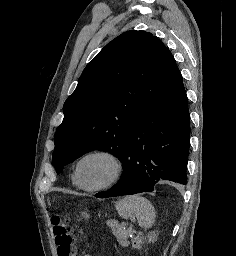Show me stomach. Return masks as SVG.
Segmentation results:
<instances>
[{"label": "stomach", "instance_id": "obj_1", "mask_svg": "<svg viewBox=\"0 0 236 256\" xmlns=\"http://www.w3.org/2000/svg\"><path fill=\"white\" fill-rule=\"evenodd\" d=\"M84 217H88V214L86 212L82 213Z\"/></svg>", "mask_w": 236, "mask_h": 256}]
</instances>
